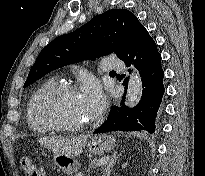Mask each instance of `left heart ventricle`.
I'll return each mask as SVG.
<instances>
[{
    "instance_id": "b2bd125f",
    "label": "left heart ventricle",
    "mask_w": 205,
    "mask_h": 176,
    "mask_svg": "<svg viewBox=\"0 0 205 176\" xmlns=\"http://www.w3.org/2000/svg\"><path fill=\"white\" fill-rule=\"evenodd\" d=\"M47 112L65 124H81L89 119L77 93H64L47 105Z\"/></svg>"
}]
</instances>
